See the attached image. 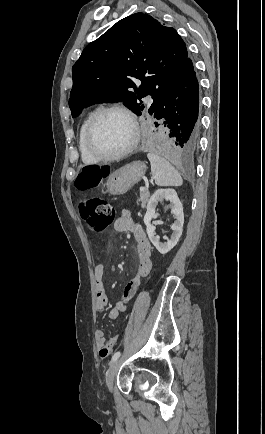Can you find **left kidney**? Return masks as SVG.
<instances>
[{
  "label": "left kidney",
  "instance_id": "5707ae66",
  "mask_svg": "<svg viewBox=\"0 0 265 434\" xmlns=\"http://www.w3.org/2000/svg\"><path fill=\"white\" fill-rule=\"evenodd\" d=\"M163 200L170 202V206L172 208L171 214H173L175 218V222L171 226V230H174V232L170 240H167V242H164V244L157 240L155 234L156 228L153 226V224H151V220L155 216L156 206H158L159 202H163ZM144 224L146 226V232L150 242H152L153 246H155L156 250H158L160 254H167V252H170V250L176 246L177 242H179L180 236H182L184 214L182 204L175 190H172V188H167V190H156V192H154L147 204V212L144 216Z\"/></svg>",
  "mask_w": 265,
  "mask_h": 434
}]
</instances>
